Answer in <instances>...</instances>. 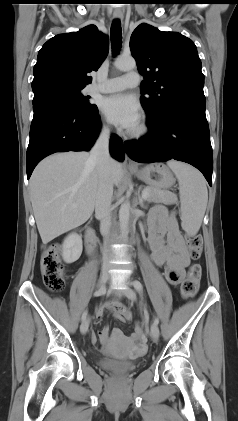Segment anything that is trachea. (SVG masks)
<instances>
[{
    "label": "trachea",
    "instance_id": "1",
    "mask_svg": "<svg viewBox=\"0 0 238 421\" xmlns=\"http://www.w3.org/2000/svg\"><path fill=\"white\" fill-rule=\"evenodd\" d=\"M111 44L113 54L116 55L122 45L121 23L118 19L114 20L111 26Z\"/></svg>",
    "mask_w": 238,
    "mask_h": 421
}]
</instances>
